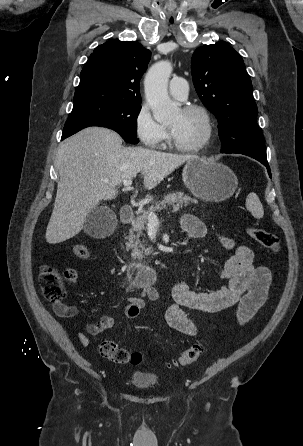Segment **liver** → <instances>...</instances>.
Listing matches in <instances>:
<instances>
[{"label":"liver","mask_w":303,"mask_h":446,"mask_svg":"<svg viewBox=\"0 0 303 446\" xmlns=\"http://www.w3.org/2000/svg\"><path fill=\"white\" fill-rule=\"evenodd\" d=\"M195 158L198 157L124 147L121 137L106 128L80 131L58 148L55 165L59 181L46 241L57 244L77 235L89 213L101 200L115 198L117 187L125 180L141 172L145 189L151 190L184 162Z\"/></svg>","instance_id":"6515ba94"}]
</instances>
